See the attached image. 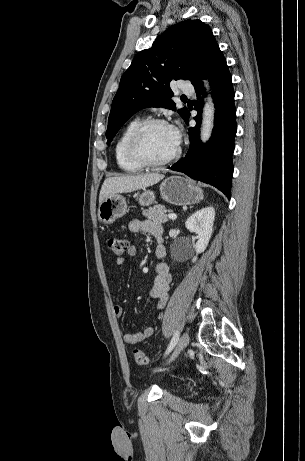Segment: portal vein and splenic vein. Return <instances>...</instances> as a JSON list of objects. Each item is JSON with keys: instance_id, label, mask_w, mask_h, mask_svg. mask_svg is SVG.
<instances>
[{"instance_id": "18ae733b", "label": "portal vein and splenic vein", "mask_w": 305, "mask_h": 461, "mask_svg": "<svg viewBox=\"0 0 305 461\" xmlns=\"http://www.w3.org/2000/svg\"><path fill=\"white\" fill-rule=\"evenodd\" d=\"M168 218L172 219V220H175L177 218V215L174 214V213H170V214H168Z\"/></svg>"}]
</instances>
